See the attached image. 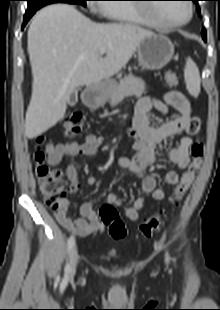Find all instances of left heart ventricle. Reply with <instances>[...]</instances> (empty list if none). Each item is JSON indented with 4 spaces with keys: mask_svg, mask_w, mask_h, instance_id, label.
Returning a JSON list of instances; mask_svg holds the SVG:
<instances>
[{
    "mask_svg": "<svg viewBox=\"0 0 220 310\" xmlns=\"http://www.w3.org/2000/svg\"><path fill=\"white\" fill-rule=\"evenodd\" d=\"M156 15L169 22H178L185 19L188 15V9L184 3L162 4L155 8Z\"/></svg>",
    "mask_w": 220,
    "mask_h": 310,
    "instance_id": "left-heart-ventricle-1",
    "label": "left heart ventricle"
}]
</instances>
